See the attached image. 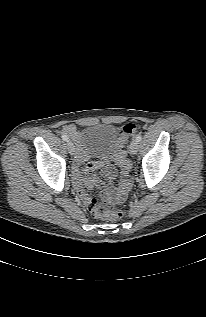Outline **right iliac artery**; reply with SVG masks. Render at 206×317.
I'll return each instance as SVG.
<instances>
[{"mask_svg": "<svg viewBox=\"0 0 206 317\" xmlns=\"http://www.w3.org/2000/svg\"><path fill=\"white\" fill-rule=\"evenodd\" d=\"M62 139L64 140V141H68V137L66 136V135H62Z\"/></svg>", "mask_w": 206, "mask_h": 317, "instance_id": "obj_1", "label": "right iliac artery"}]
</instances>
